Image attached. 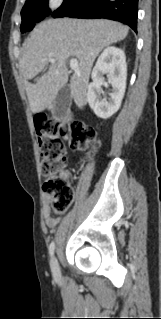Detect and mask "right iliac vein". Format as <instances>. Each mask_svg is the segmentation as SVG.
Listing matches in <instances>:
<instances>
[{"mask_svg":"<svg viewBox=\"0 0 161 319\" xmlns=\"http://www.w3.org/2000/svg\"><path fill=\"white\" fill-rule=\"evenodd\" d=\"M51 270H52V273L55 277L60 275V268H59L58 261H57L55 256H53L51 259Z\"/></svg>","mask_w":161,"mask_h":319,"instance_id":"right-iliac-vein-1","label":"right iliac vein"}]
</instances>
